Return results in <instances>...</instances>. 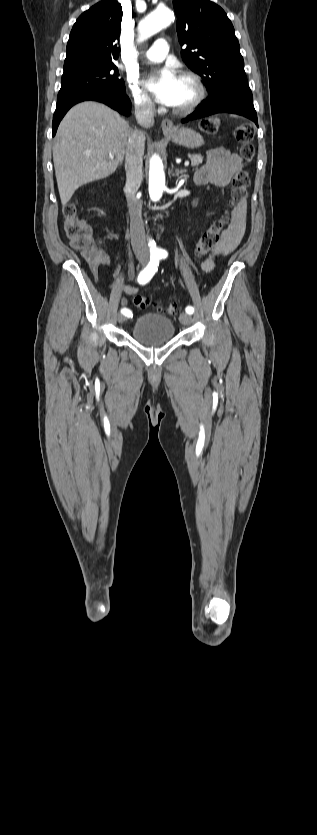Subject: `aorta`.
Instances as JSON below:
<instances>
[{"mask_svg": "<svg viewBox=\"0 0 317 835\" xmlns=\"http://www.w3.org/2000/svg\"><path fill=\"white\" fill-rule=\"evenodd\" d=\"M174 21V13L168 7H158L140 20L139 41H144L158 33L163 27ZM165 188L164 166L159 155L154 154L149 162V194L153 201L162 197Z\"/></svg>", "mask_w": 317, "mask_h": 835, "instance_id": "obj_1", "label": "aorta"}]
</instances>
